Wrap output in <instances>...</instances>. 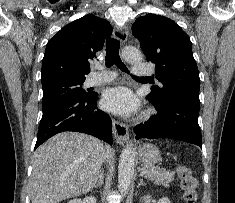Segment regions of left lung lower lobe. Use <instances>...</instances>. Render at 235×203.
<instances>
[{
	"mask_svg": "<svg viewBox=\"0 0 235 203\" xmlns=\"http://www.w3.org/2000/svg\"><path fill=\"white\" fill-rule=\"evenodd\" d=\"M155 106L157 115L135 127L136 139L169 138L198 145L202 137L198 125L199 97L192 94H175L164 102L147 97Z\"/></svg>",
	"mask_w": 235,
	"mask_h": 203,
	"instance_id": "left-lung-lower-lobe-1",
	"label": "left lung lower lobe"
}]
</instances>
